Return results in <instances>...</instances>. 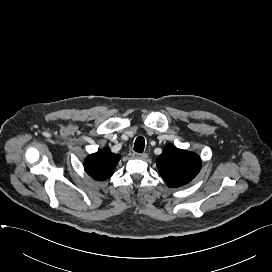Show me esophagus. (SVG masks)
I'll use <instances>...</instances> for the list:
<instances>
[{"mask_svg":"<svg viewBox=\"0 0 272 272\" xmlns=\"http://www.w3.org/2000/svg\"><path fill=\"white\" fill-rule=\"evenodd\" d=\"M133 156L137 159L146 160L148 157L147 153H134Z\"/></svg>","mask_w":272,"mask_h":272,"instance_id":"obj_1","label":"esophagus"}]
</instances>
